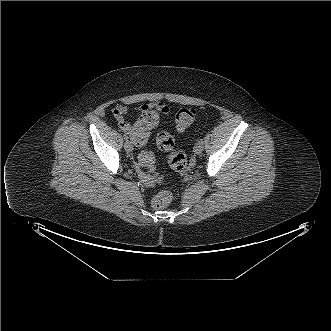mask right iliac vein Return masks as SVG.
I'll return each instance as SVG.
<instances>
[{
    "label": "right iliac vein",
    "mask_w": 331,
    "mask_h": 331,
    "mask_svg": "<svg viewBox=\"0 0 331 331\" xmlns=\"http://www.w3.org/2000/svg\"><path fill=\"white\" fill-rule=\"evenodd\" d=\"M124 149L127 151V152H131L133 150V145L131 144L130 141H126L125 144H124Z\"/></svg>",
    "instance_id": "63e3f726"
}]
</instances>
